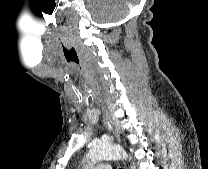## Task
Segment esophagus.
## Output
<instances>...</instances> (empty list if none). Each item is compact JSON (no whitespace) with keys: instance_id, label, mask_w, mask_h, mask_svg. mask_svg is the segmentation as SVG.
I'll use <instances>...</instances> for the list:
<instances>
[{"instance_id":"34e87169","label":"esophagus","mask_w":208,"mask_h":169,"mask_svg":"<svg viewBox=\"0 0 208 169\" xmlns=\"http://www.w3.org/2000/svg\"><path fill=\"white\" fill-rule=\"evenodd\" d=\"M102 110H103V122H104V124L119 139V134H118V132L115 128L114 122L110 119L108 111L104 107L102 108ZM122 166H123V169H127L126 163L124 161L122 162Z\"/></svg>"}]
</instances>
